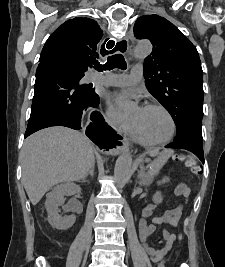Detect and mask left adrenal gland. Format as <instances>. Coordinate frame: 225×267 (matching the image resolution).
<instances>
[{"label":"left adrenal gland","mask_w":225,"mask_h":267,"mask_svg":"<svg viewBox=\"0 0 225 267\" xmlns=\"http://www.w3.org/2000/svg\"><path fill=\"white\" fill-rule=\"evenodd\" d=\"M144 179H145L144 165H140V170H138V184L140 186L145 184Z\"/></svg>","instance_id":"a2214340"}]
</instances>
